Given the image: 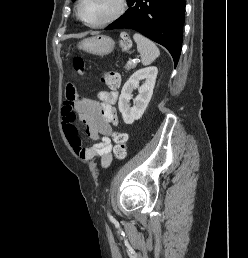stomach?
Instances as JSON below:
<instances>
[{"label":"stomach","mask_w":248,"mask_h":258,"mask_svg":"<svg viewBox=\"0 0 248 258\" xmlns=\"http://www.w3.org/2000/svg\"><path fill=\"white\" fill-rule=\"evenodd\" d=\"M115 41L105 35H97L84 39L79 43V49L99 56L111 53L114 49Z\"/></svg>","instance_id":"obj_1"}]
</instances>
